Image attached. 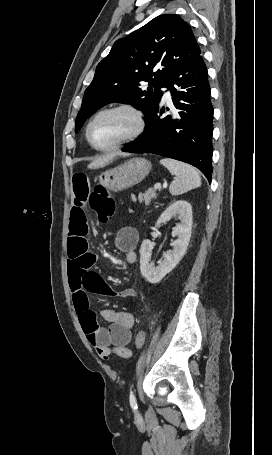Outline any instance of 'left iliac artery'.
Wrapping results in <instances>:
<instances>
[{"mask_svg": "<svg viewBox=\"0 0 272 455\" xmlns=\"http://www.w3.org/2000/svg\"><path fill=\"white\" fill-rule=\"evenodd\" d=\"M129 401H130V405H131L132 409L137 410V402H136V398H135V395L133 394V392L130 393Z\"/></svg>", "mask_w": 272, "mask_h": 455, "instance_id": "44dca946", "label": "left iliac artery"}]
</instances>
